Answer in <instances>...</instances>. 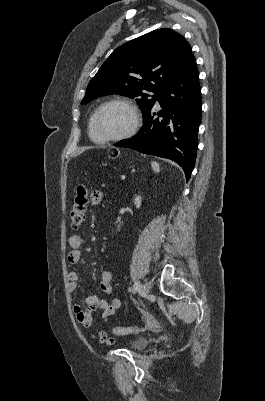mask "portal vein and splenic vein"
Segmentation results:
<instances>
[{
	"label": "portal vein and splenic vein",
	"mask_w": 265,
	"mask_h": 401,
	"mask_svg": "<svg viewBox=\"0 0 265 401\" xmlns=\"http://www.w3.org/2000/svg\"><path fill=\"white\" fill-rule=\"evenodd\" d=\"M120 180H121V181H125V180H126V177H125L124 174H121V175H120Z\"/></svg>",
	"instance_id": "18ae733b"
}]
</instances>
